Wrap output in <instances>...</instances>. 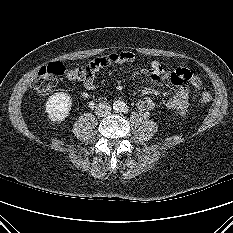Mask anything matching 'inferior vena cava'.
Returning a JSON list of instances; mask_svg holds the SVG:
<instances>
[{"label": "inferior vena cava", "mask_w": 233, "mask_h": 233, "mask_svg": "<svg viewBox=\"0 0 233 233\" xmlns=\"http://www.w3.org/2000/svg\"><path fill=\"white\" fill-rule=\"evenodd\" d=\"M110 112H111V107L108 103H99L95 107V113L98 116L103 117L110 114Z\"/></svg>", "instance_id": "602c4592"}]
</instances>
